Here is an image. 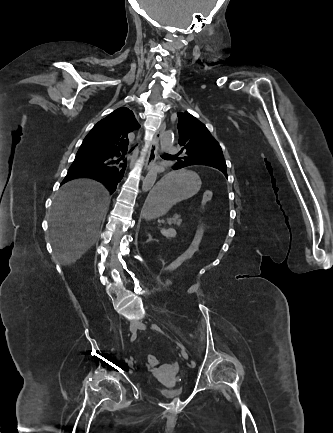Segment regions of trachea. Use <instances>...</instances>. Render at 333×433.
<instances>
[{
    "label": "trachea",
    "instance_id": "obj_1",
    "mask_svg": "<svg viewBox=\"0 0 333 433\" xmlns=\"http://www.w3.org/2000/svg\"><path fill=\"white\" fill-rule=\"evenodd\" d=\"M165 155H167V156H171V155H169V154H165Z\"/></svg>",
    "mask_w": 333,
    "mask_h": 433
}]
</instances>
